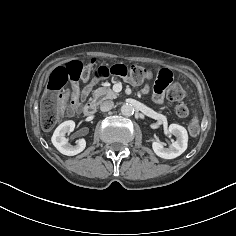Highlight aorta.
Listing matches in <instances>:
<instances>
[{
  "label": "aorta",
  "instance_id": "1",
  "mask_svg": "<svg viewBox=\"0 0 236 236\" xmlns=\"http://www.w3.org/2000/svg\"><path fill=\"white\" fill-rule=\"evenodd\" d=\"M121 113L124 116H130L134 113V107L131 104H123L121 106Z\"/></svg>",
  "mask_w": 236,
  "mask_h": 236
}]
</instances>
